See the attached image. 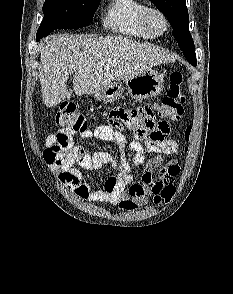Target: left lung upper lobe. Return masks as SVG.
<instances>
[{
    "mask_svg": "<svg viewBox=\"0 0 233 294\" xmlns=\"http://www.w3.org/2000/svg\"><path fill=\"white\" fill-rule=\"evenodd\" d=\"M168 19L185 58L196 66L194 42L189 32V15L185 0H150Z\"/></svg>",
    "mask_w": 233,
    "mask_h": 294,
    "instance_id": "left-lung-upper-lobe-1",
    "label": "left lung upper lobe"
}]
</instances>
